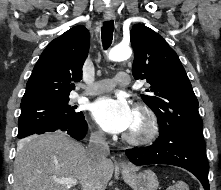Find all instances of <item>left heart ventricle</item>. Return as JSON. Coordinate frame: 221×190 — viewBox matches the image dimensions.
Instances as JSON below:
<instances>
[{
	"instance_id": "1",
	"label": "left heart ventricle",
	"mask_w": 221,
	"mask_h": 190,
	"mask_svg": "<svg viewBox=\"0 0 221 190\" xmlns=\"http://www.w3.org/2000/svg\"><path fill=\"white\" fill-rule=\"evenodd\" d=\"M142 126H143V121L141 117L135 113L133 123L127 132L138 133L142 129Z\"/></svg>"
}]
</instances>
